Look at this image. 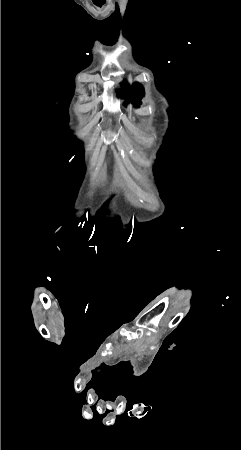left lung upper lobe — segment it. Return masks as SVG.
Instances as JSON below:
<instances>
[{
	"label": "left lung upper lobe",
	"mask_w": 241,
	"mask_h": 450,
	"mask_svg": "<svg viewBox=\"0 0 241 450\" xmlns=\"http://www.w3.org/2000/svg\"><path fill=\"white\" fill-rule=\"evenodd\" d=\"M122 88L118 90V94L126 99L125 105L129 102L135 104L136 106H139L142 102L141 99L144 96V88L138 84L134 83L131 87L126 84H121Z\"/></svg>",
	"instance_id": "5c2ea615"
}]
</instances>
